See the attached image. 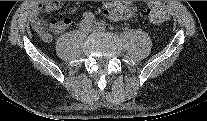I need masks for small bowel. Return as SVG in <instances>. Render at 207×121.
<instances>
[{"instance_id":"small-bowel-1","label":"small bowel","mask_w":207,"mask_h":121,"mask_svg":"<svg viewBox=\"0 0 207 121\" xmlns=\"http://www.w3.org/2000/svg\"><path fill=\"white\" fill-rule=\"evenodd\" d=\"M62 2H42L37 4L30 12V23L44 42H50L52 40V34L59 35L64 32L72 23L71 18L66 17L63 19H55L51 21L49 27L42 18V14L51 13L62 7ZM104 12L106 16L112 20L122 19L129 16L132 13V7L130 2L125 1H113L104 4Z\"/></svg>"}]
</instances>
